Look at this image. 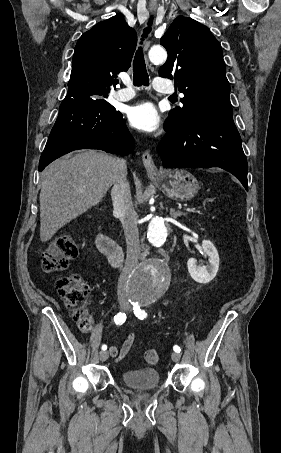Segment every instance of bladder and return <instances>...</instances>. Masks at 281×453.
I'll return each mask as SVG.
<instances>
[{
  "label": "bladder",
  "instance_id": "bladder-1",
  "mask_svg": "<svg viewBox=\"0 0 281 453\" xmlns=\"http://www.w3.org/2000/svg\"><path fill=\"white\" fill-rule=\"evenodd\" d=\"M121 380L131 388L150 389L159 385L160 376L155 369L144 368L124 371L121 374Z\"/></svg>",
  "mask_w": 281,
  "mask_h": 453
}]
</instances>
